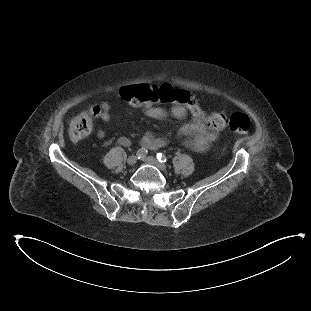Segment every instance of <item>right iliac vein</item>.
Listing matches in <instances>:
<instances>
[{"label":"right iliac vein","instance_id":"63e3f726","mask_svg":"<svg viewBox=\"0 0 311 311\" xmlns=\"http://www.w3.org/2000/svg\"><path fill=\"white\" fill-rule=\"evenodd\" d=\"M136 162H137V156L132 155V156H130V157L127 159V163H128V165H130V166L135 165Z\"/></svg>","mask_w":311,"mask_h":311}]
</instances>
